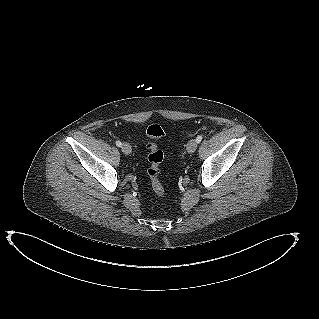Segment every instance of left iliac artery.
<instances>
[{"label":"left iliac artery","instance_id":"obj_1","mask_svg":"<svg viewBox=\"0 0 319 319\" xmlns=\"http://www.w3.org/2000/svg\"><path fill=\"white\" fill-rule=\"evenodd\" d=\"M202 138H203L202 135H198L196 138L197 143H200Z\"/></svg>","mask_w":319,"mask_h":319}]
</instances>
